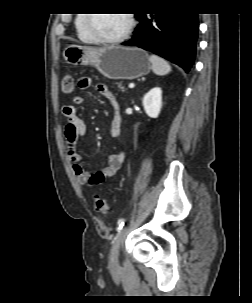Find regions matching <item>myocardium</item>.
Listing matches in <instances>:
<instances>
[{
    "label": "myocardium",
    "instance_id": "f54148a6",
    "mask_svg": "<svg viewBox=\"0 0 252 303\" xmlns=\"http://www.w3.org/2000/svg\"><path fill=\"white\" fill-rule=\"evenodd\" d=\"M127 17H128V24L126 29L119 35L116 36H112V37H107V36H102L100 34L94 33L91 29V23L93 20L92 16H87L86 17V23H87V30L90 33L91 39L92 40H97V41H102L105 43H117V42H121L124 39H126L130 33L132 32L134 25H135V17L133 13H126Z\"/></svg>",
    "mask_w": 252,
    "mask_h": 303
}]
</instances>
